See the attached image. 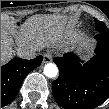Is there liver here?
<instances>
[{
	"mask_svg": "<svg viewBox=\"0 0 109 109\" xmlns=\"http://www.w3.org/2000/svg\"><path fill=\"white\" fill-rule=\"evenodd\" d=\"M73 19L60 14H41L28 18L16 32L18 47L32 45L36 48L57 43H72L76 38L73 31ZM14 32L9 28L1 29V63L5 64L14 55ZM83 46L90 45L89 40L82 42Z\"/></svg>",
	"mask_w": 109,
	"mask_h": 109,
	"instance_id": "1",
	"label": "liver"
}]
</instances>
